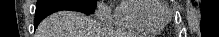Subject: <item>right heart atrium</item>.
<instances>
[{
    "label": "right heart atrium",
    "instance_id": "right-heart-atrium-1",
    "mask_svg": "<svg viewBox=\"0 0 219 37\" xmlns=\"http://www.w3.org/2000/svg\"><path fill=\"white\" fill-rule=\"evenodd\" d=\"M96 17L107 22L110 19V9L106 6L105 2L100 1L96 7Z\"/></svg>",
    "mask_w": 219,
    "mask_h": 37
}]
</instances>
